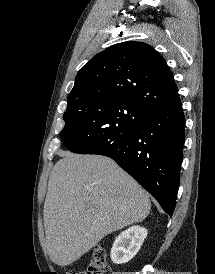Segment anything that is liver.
<instances>
[{
	"instance_id": "liver-1",
	"label": "liver",
	"mask_w": 215,
	"mask_h": 274,
	"mask_svg": "<svg viewBox=\"0 0 215 274\" xmlns=\"http://www.w3.org/2000/svg\"><path fill=\"white\" fill-rule=\"evenodd\" d=\"M44 203L46 251L66 266L108 234L143 221L151 203L144 189L112 159L61 152Z\"/></svg>"
}]
</instances>
